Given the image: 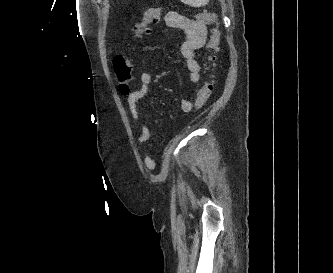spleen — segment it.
<instances>
[{
  "mask_svg": "<svg viewBox=\"0 0 333 273\" xmlns=\"http://www.w3.org/2000/svg\"><path fill=\"white\" fill-rule=\"evenodd\" d=\"M180 1L193 7H201L209 2V0H180Z\"/></svg>",
  "mask_w": 333,
  "mask_h": 273,
  "instance_id": "spleen-1",
  "label": "spleen"
}]
</instances>
